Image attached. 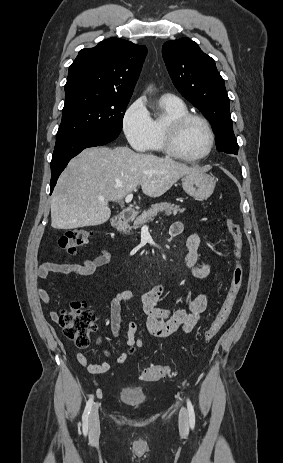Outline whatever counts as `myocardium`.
I'll return each instance as SVG.
<instances>
[{"mask_svg":"<svg viewBox=\"0 0 283 463\" xmlns=\"http://www.w3.org/2000/svg\"><path fill=\"white\" fill-rule=\"evenodd\" d=\"M191 120H198L204 124L209 135L208 149L200 156L189 157L180 152L178 149V137L182 128ZM215 146V133L209 120L203 115L187 112L183 115L168 120L163 130V149L171 157L187 162L195 163L206 159L213 151Z\"/></svg>","mask_w":283,"mask_h":463,"instance_id":"myocardium-1","label":"myocardium"}]
</instances>
